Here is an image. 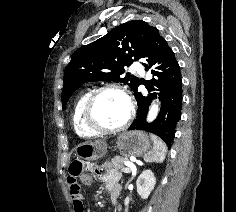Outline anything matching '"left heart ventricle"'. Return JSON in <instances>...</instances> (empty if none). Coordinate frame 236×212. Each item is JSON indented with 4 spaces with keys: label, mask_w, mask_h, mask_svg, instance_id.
Returning a JSON list of instances; mask_svg holds the SVG:
<instances>
[{
    "label": "left heart ventricle",
    "mask_w": 236,
    "mask_h": 212,
    "mask_svg": "<svg viewBox=\"0 0 236 212\" xmlns=\"http://www.w3.org/2000/svg\"><path fill=\"white\" fill-rule=\"evenodd\" d=\"M128 104L123 95L114 90L101 93L95 103V121L104 128L119 127L127 118Z\"/></svg>",
    "instance_id": "1"
}]
</instances>
